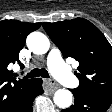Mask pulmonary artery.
<instances>
[{
  "instance_id": "obj_1",
  "label": "pulmonary artery",
  "mask_w": 112,
  "mask_h": 112,
  "mask_svg": "<svg viewBox=\"0 0 112 112\" xmlns=\"http://www.w3.org/2000/svg\"><path fill=\"white\" fill-rule=\"evenodd\" d=\"M47 64L52 75L67 87L78 86L77 78L70 72L62 60L60 51L52 48L48 53Z\"/></svg>"
}]
</instances>
